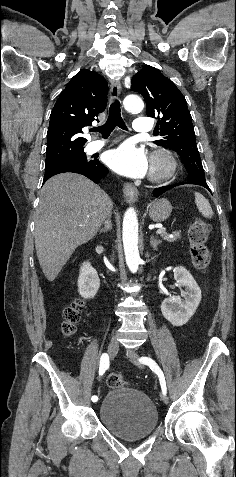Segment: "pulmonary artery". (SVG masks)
I'll return each instance as SVG.
<instances>
[{
  "label": "pulmonary artery",
  "instance_id": "1",
  "mask_svg": "<svg viewBox=\"0 0 236 477\" xmlns=\"http://www.w3.org/2000/svg\"><path fill=\"white\" fill-rule=\"evenodd\" d=\"M133 130L137 133H147L152 130V123L148 118H137L133 123ZM106 144L105 141H94L92 149L94 151L101 149Z\"/></svg>",
  "mask_w": 236,
  "mask_h": 477
}]
</instances>
